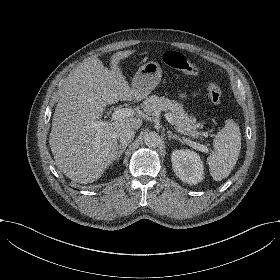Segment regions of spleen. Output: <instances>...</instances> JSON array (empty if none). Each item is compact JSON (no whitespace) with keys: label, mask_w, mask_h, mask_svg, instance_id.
<instances>
[{"label":"spleen","mask_w":280,"mask_h":280,"mask_svg":"<svg viewBox=\"0 0 280 280\" xmlns=\"http://www.w3.org/2000/svg\"><path fill=\"white\" fill-rule=\"evenodd\" d=\"M216 153L208 158L215 180L226 178L233 170L241 150V132L237 120H228L214 139Z\"/></svg>","instance_id":"obj_1"}]
</instances>
